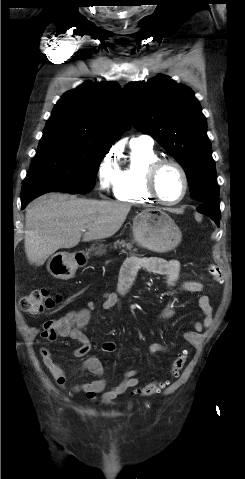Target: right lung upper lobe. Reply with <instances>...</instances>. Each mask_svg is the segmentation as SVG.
Returning <instances> with one entry per match:
<instances>
[{
    "mask_svg": "<svg viewBox=\"0 0 245 479\" xmlns=\"http://www.w3.org/2000/svg\"><path fill=\"white\" fill-rule=\"evenodd\" d=\"M130 121L119 87L113 82H86L58 101L44 133H60L111 148Z\"/></svg>",
    "mask_w": 245,
    "mask_h": 479,
    "instance_id": "obj_1",
    "label": "right lung upper lobe"
}]
</instances>
